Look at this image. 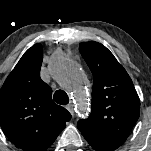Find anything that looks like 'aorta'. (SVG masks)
I'll use <instances>...</instances> for the list:
<instances>
[{
    "instance_id": "1",
    "label": "aorta",
    "mask_w": 151,
    "mask_h": 151,
    "mask_svg": "<svg viewBox=\"0 0 151 151\" xmlns=\"http://www.w3.org/2000/svg\"><path fill=\"white\" fill-rule=\"evenodd\" d=\"M79 69L77 67V65L67 59L64 55L60 54L58 55L53 63H52V67H51V72L54 76L56 77H72L74 75L75 72H78ZM81 92V89L78 87L77 92L75 94V97L77 99L78 102V107L80 110V113L82 115H86L87 114V102H86V97L85 95H80L79 93Z\"/></svg>"
}]
</instances>
